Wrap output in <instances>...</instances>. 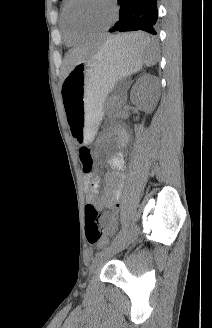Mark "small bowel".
<instances>
[{"label":"small bowel","mask_w":212,"mask_h":328,"mask_svg":"<svg viewBox=\"0 0 212 328\" xmlns=\"http://www.w3.org/2000/svg\"><path fill=\"white\" fill-rule=\"evenodd\" d=\"M112 172L106 177L107 191L99 195L100 183L92 172L84 173L87 187L88 201L98 209H106L101 217V223L107 236H111L117 227V214L120 208L122 189L124 184V156L119 153L109 160Z\"/></svg>","instance_id":"1"}]
</instances>
